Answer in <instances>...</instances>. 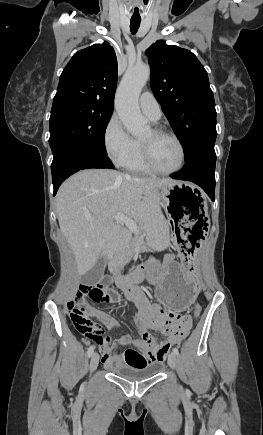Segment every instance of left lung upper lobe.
Masks as SVG:
<instances>
[{
    "label": "left lung upper lobe",
    "mask_w": 263,
    "mask_h": 435,
    "mask_svg": "<svg viewBox=\"0 0 263 435\" xmlns=\"http://www.w3.org/2000/svg\"><path fill=\"white\" fill-rule=\"evenodd\" d=\"M151 68V88L182 142L185 159L214 145L216 110L208 75L189 50L157 41L145 52Z\"/></svg>",
    "instance_id": "left-lung-upper-lobe-1"
}]
</instances>
